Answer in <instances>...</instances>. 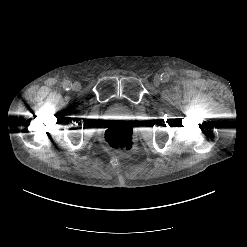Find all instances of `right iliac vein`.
Instances as JSON below:
<instances>
[{"label": "right iliac vein", "instance_id": "right-iliac-vein-1", "mask_svg": "<svg viewBox=\"0 0 247 247\" xmlns=\"http://www.w3.org/2000/svg\"><path fill=\"white\" fill-rule=\"evenodd\" d=\"M80 88H81V85H80L79 82H75V83L73 84V89H74L75 91L80 90Z\"/></svg>", "mask_w": 247, "mask_h": 247}]
</instances>
